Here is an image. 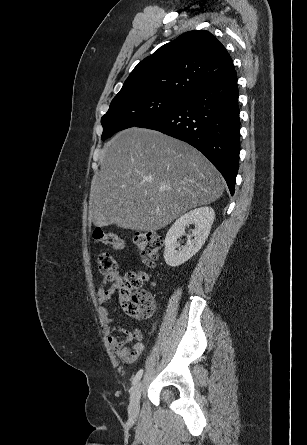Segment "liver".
Wrapping results in <instances>:
<instances>
[{"instance_id":"liver-1","label":"liver","mask_w":307,"mask_h":445,"mask_svg":"<svg viewBox=\"0 0 307 445\" xmlns=\"http://www.w3.org/2000/svg\"><path fill=\"white\" fill-rule=\"evenodd\" d=\"M101 152L89 200L95 227L158 231L223 194L221 174L202 152L158 130L126 128Z\"/></svg>"}]
</instances>
